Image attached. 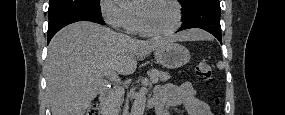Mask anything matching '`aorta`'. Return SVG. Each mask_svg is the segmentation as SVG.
Instances as JSON below:
<instances>
[{"label":"aorta","mask_w":285,"mask_h":115,"mask_svg":"<svg viewBox=\"0 0 285 115\" xmlns=\"http://www.w3.org/2000/svg\"><path fill=\"white\" fill-rule=\"evenodd\" d=\"M117 3L122 4L124 3V0H117ZM146 100V93L144 91H140L135 97L131 108V115H143L146 106Z\"/></svg>","instance_id":"762f6f07"}]
</instances>
